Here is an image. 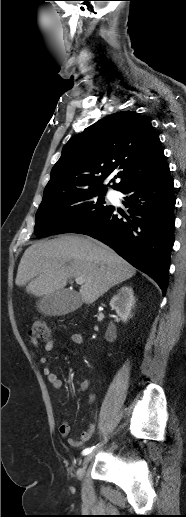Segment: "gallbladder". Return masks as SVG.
<instances>
[{"label":"gallbladder","instance_id":"gallbladder-1","mask_svg":"<svg viewBox=\"0 0 186 517\" xmlns=\"http://www.w3.org/2000/svg\"><path fill=\"white\" fill-rule=\"evenodd\" d=\"M81 304V297L76 292L59 290L44 295L37 303V308L45 315L60 316L74 311Z\"/></svg>","mask_w":186,"mask_h":517}]
</instances>
